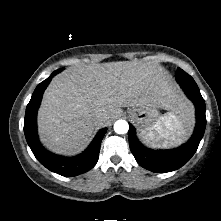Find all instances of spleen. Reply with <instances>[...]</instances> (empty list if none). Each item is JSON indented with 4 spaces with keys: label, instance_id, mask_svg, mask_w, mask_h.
Segmentation results:
<instances>
[{
    "label": "spleen",
    "instance_id": "3e777b00",
    "mask_svg": "<svg viewBox=\"0 0 221 221\" xmlns=\"http://www.w3.org/2000/svg\"><path fill=\"white\" fill-rule=\"evenodd\" d=\"M193 124V110L180 114L171 112L161 117V121L156 128L160 137L164 140L162 145L156 146L155 144L146 143L143 133H140V137L147 145L151 147L166 148L170 146H177L180 145L190 134ZM148 137L152 138V134L150 133Z\"/></svg>",
    "mask_w": 221,
    "mask_h": 221
}]
</instances>
